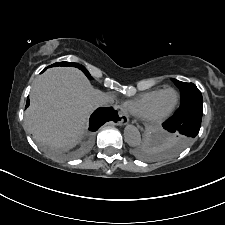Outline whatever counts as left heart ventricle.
Instances as JSON below:
<instances>
[{
  "label": "left heart ventricle",
  "instance_id": "obj_1",
  "mask_svg": "<svg viewBox=\"0 0 225 225\" xmlns=\"http://www.w3.org/2000/svg\"><path fill=\"white\" fill-rule=\"evenodd\" d=\"M176 101V94L172 91L163 93L156 101L152 113L154 115H160L168 111Z\"/></svg>",
  "mask_w": 225,
  "mask_h": 225
}]
</instances>
